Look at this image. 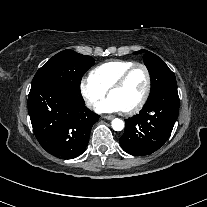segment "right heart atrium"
Here are the masks:
<instances>
[{"instance_id": "obj_1", "label": "right heart atrium", "mask_w": 207, "mask_h": 207, "mask_svg": "<svg viewBox=\"0 0 207 207\" xmlns=\"http://www.w3.org/2000/svg\"><path fill=\"white\" fill-rule=\"evenodd\" d=\"M79 90L87 107L90 109L95 108L107 93V90L100 86L90 75L80 81Z\"/></svg>"}]
</instances>
